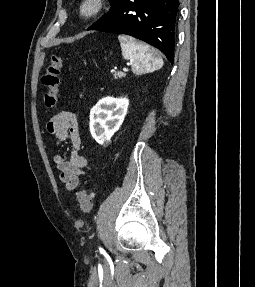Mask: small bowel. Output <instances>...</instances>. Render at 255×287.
<instances>
[{
    "label": "small bowel",
    "mask_w": 255,
    "mask_h": 287,
    "mask_svg": "<svg viewBox=\"0 0 255 287\" xmlns=\"http://www.w3.org/2000/svg\"><path fill=\"white\" fill-rule=\"evenodd\" d=\"M47 131L59 141H70L72 151L69 159L62 154H56L53 161L60 172L61 183L67 190H75L79 187L80 177L84 175V169L88 164L86 158L80 154L81 134L76 115L69 111L56 113L48 121Z\"/></svg>",
    "instance_id": "obj_1"
}]
</instances>
